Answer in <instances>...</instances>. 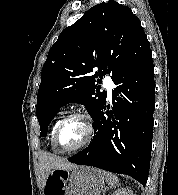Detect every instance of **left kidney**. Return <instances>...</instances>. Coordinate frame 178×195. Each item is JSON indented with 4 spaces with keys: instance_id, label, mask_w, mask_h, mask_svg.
<instances>
[{
    "instance_id": "left-kidney-1",
    "label": "left kidney",
    "mask_w": 178,
    "mask_h": 195,
    "mask_svg": "<svg viewBox=\"0 0 178 195\" xmlns=\"http://www.w3.org/2000/svg\"><path fill=\"white\" fill-rule=\"evenodd\" d=\"M112 195H134L128 188H119L113 192Z\"/></svg>"
}]
</instances>
